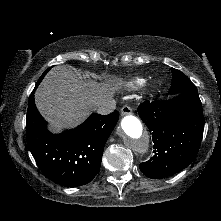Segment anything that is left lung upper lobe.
<instances>
[{
	"instance_id": "obj_1",
	"label": "left lung upper lobe",
	"mask_w": 221,
	"mask_h": 221,
	"mask_svg": "<svg viewBox=\"0 0 221 221\" xmlns=\"http://www.w3.org/2000/svg\"><path fill=\"white\" fill-rule=\"evenodd\" d=\"M172 84L170 87V94L177 95L180 93H198L196 86L191 80L181 71L171 68Z\"/></svg>"
}]
</instances>
